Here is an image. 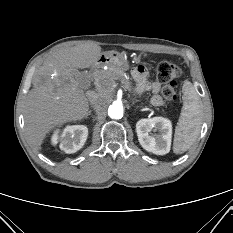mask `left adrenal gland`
<instances>
[{
    "label": "left adrenal gland",
    "mask_w": 233,
    "mask_h": 233,
    "mask_svg": "<svg viewBox=\"0 0 233 233\" xmlns=\"http://www.w3.org/2000/svg\"><path fill=\"white\" fill-rule=\"evenodd\" d=\"M139 100H136L135 102L132 103V105H134L136 102H138Z\"/></svg>",
    "instance_id": "a2214340"
}]
</instances>
